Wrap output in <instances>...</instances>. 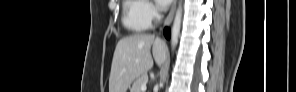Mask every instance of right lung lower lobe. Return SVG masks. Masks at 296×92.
<instances>
[{
	"instance_id": "obj_1",
	"label": "right lung lower lobe",
	"mask_w": 296,
	"mask_h": 92,
	"mask_svg": "<svg viewBox=\"0 0 296 92\" xmlns=\"http://www.w3.org/2000/svg\"><path fill=\"white\" fill-rule=\"evenodd\" d=\"M164 35L166 36V38H168V39L170 38V32H169L168 28H165Z\"/></svg>"
}]
</instances>
